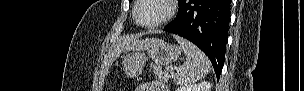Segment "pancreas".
I'll list each match as a JSON object with an SVG mask.
<instances>
[{
    "mask_svg": "<svg viewBox=\"0 0 304 91\" xmlns=\"http://www.w3.org/2000/svg\"><path fill=\"white\" fill-rule=\"evenodd\" d=\"M153 74L156 79L162 82H167L173 75V71L169 70L168 68L165 70H162L161 68L157 66H153Z\"/></svg>",
    "mask_w": 304,
    "mask_h": 91,
    "instance_id": "1",
    "label": "pancreas"
}]
</instances>
